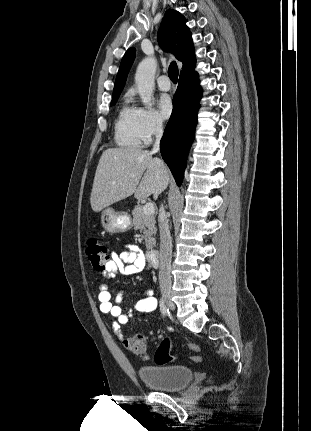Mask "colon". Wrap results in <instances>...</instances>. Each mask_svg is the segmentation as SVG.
<instances>
[{
	"mask_svg": "<svg viewBox=\"0 0 311 431\" xmlns=\"http://www.w3.org/2000/svg\"><path fill=\"white\" fill-rule=\"evenodd\" d=\"M86 255L93 266V268L99 272L103 273L105 271V264L109 260V251L105 244L102 242L91 239L87 243ZM125 348L132 354L137 355L142 358L148 357V347L146 340L143 335H135L131 338L124 340ZM188 349L199 352L200 346L197 344H186ZM172 340L170 338H165L162 340L158 346L155 353V361L158 364H166L172 360L171 355ZM193 362H201L202 358L199 355H193L190 357Z\"/></svg>",
	"mask_w": 311,
	"mask_h": 431,
	"instance_id": "1",
	"label": "colon"
}]
</instances>
